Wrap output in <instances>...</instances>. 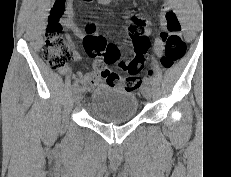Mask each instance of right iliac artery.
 Returning a JSON list of instances; mask_svg holds the SVG:
<instances>
[{
  "mask_svg": "<svg viewBox=\"0 0 231 177\" xmlns=\"http://www.w3.org/2000/svg\"><path fill=\"white\" fill-rule=\"evenodd\" d=\"M78 86V83L77 82H74L73 83V87L76 88Z\"/></svg>",
  "mask_w": 231,
  "mask_h": 177,
  "instance_id": "obj_1",
  "label": "right iliac artery"
}]
</instances>
